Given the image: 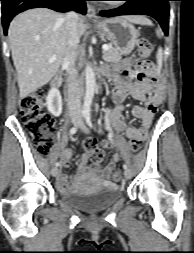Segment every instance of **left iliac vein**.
<instances>
[{
    "instance_id": "4c4485c4",
    "label": "left iliac vein",
    "mask_w": 194,
    "mask_h": 253,
    "mask_svg": "<svg viewBox=\"0 0 194 253\" xmlns=\"http://www.w3.org/2000/svg\"><path fill=\"white\" fill-rule=\"evenodd\" d=\"M80 129L85 132V133H89V129L85 126L84 123H82L80 125ZM124 175H125V178L126 179H131L132 178V172L130 169H126L125 172H124Z\"/></svg>"
}]
</instances>
